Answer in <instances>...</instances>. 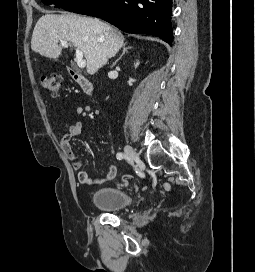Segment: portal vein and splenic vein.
Masks as SVG:
<instances>
[{
    "instance_id": "portal-vein-and-splenic-vein-1",
    "label": "portal vein and splenic vein",
    "mask_w": 255,
    "mask_h": 272,
    "mask_svg": "<svg viewBox=\"0 0 255 272\" xmlns=\"http://www.w3.org/2000/svg\"><path fill=\"white\" fill-rule=\"evenodd\" d=\"M60 43L64 47H68V42L65 40H60ZM77 65L80 68H84L86 66V61L83 59V52L80 49H76V58Z\"/></svg>"
}]
</instances>
